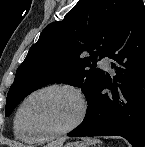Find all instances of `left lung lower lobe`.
<instances>
[{
	"label": "left lung lower lobe",
	"mask_w": 145,
	"mask_h": 147,
	"mask_svg": "<svg viewBox=\"0 0 145 147\" xmlns=\"http://www.w3.org/2000/svg\"><path fill=\"white\" fill-rule=\"evenodd\" d=\"M116 76L104 74L83 122L68 136H110L145 145V6L131 0L123 25L107 55ZM108 89L109 93L103 92Z\"/></svg>",
	"instance_id": "left-lung-lower-lobe-1"
}]
</instances>
